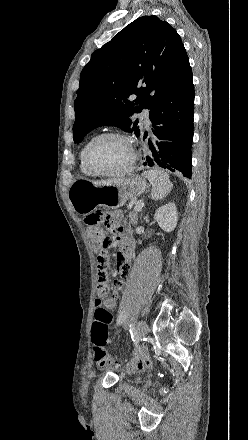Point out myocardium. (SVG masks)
<instances>
[{"label":"myocardium","instance_id":"f54148a6","mask_svg":"<svg viewBox=\"0 0 248 440\" xmlns=\"http://www.w3.org/2000/svg\"><path fill=\"white\" fill-rule=\"evenodd\" d=\"M111 137L120 138L128 144V146L130 148V152H131L130 160H129L128 164L126 165V167H124L123 169H121L119 171H116V172L97 171L92 167L91 162H90L91 151H92L93 147L99 141H101L105 138H111ZM137 158H138V154L136 152V149H135V146H134L132 139L128 135H126L125 133H122L120 131H107V132H103V133L95 136L88 144V146L85 150V155H84V161H85V165H86L88 171L92 175L98 176V177H121V176H124L133 170V168L136 164Z\"/></svg>","mask_w":248,"mask_h":440}]
</instances>
